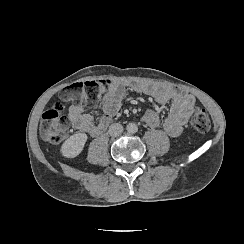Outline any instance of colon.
Returning a JSON list of instances; mask_svg holds the SVG:
<instances>
[{
    "label": "colon",
    "mask_w": 244,
    "mask_h": 244,
    "mask_svg": "<svg viewBox=\"0 0 244 244\" xmlns=\"http://www.w3.org/2000/svg\"><path fill=\"white\" fill-rule=\"evenodd\" d=\"M110 84L109 80L93 81L89 86L85 83H75L63 86L58 91V96L63 101L72 98L84 101L87 105H94L100 100L101 92ZM64 102L56 101L47 107L41 116L40 134L49 143L60 142L70 127L69 121L63 116ZM192 126L200 133L207 132L211 127L207 111L201 107L195 108L192 116Z\"/></svg>",
    "instance_id": "5ec220e1"
}]
</instances>
